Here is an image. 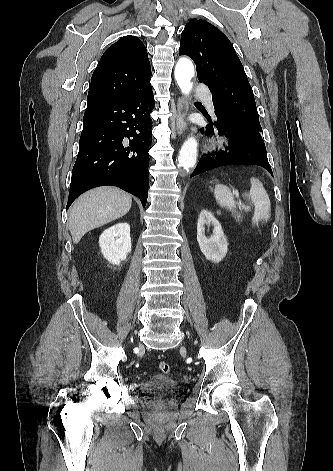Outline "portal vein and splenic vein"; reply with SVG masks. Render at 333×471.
<instances>
[{"mask_svg":"<svg viewBox=\"0 0 333 471\" xmlns=\"http://www.w3.org/2000/svg\"><path fill=\"white\" fill-rule=\"evenodd\" d=\"M237 197H238V195H237ZM238 206H239V208H243L245 210H248V207L245 206L244 204H242L241 201H238Z\"/></svg>","mask_w":333,"mask_h":471,"instance_id":"1","label":"portal vein and splenic vein"}]
</instances>
